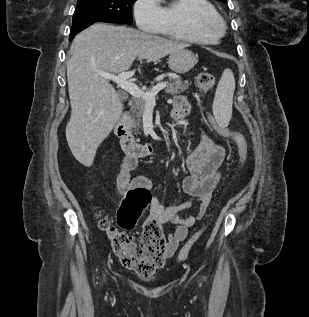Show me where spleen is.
<instances>
[{"label": "spleen", "mask_w": 309, "mask_h": 317, "mask_svg": "<svg viewBox=\"0 0 309 317\" xmlns=\"http://www.w3.org/2000/svg\"><path fill=\"white\" fill-rule=\"evenodd\" d=\"M234 91V74L227 68L222 73L213 102L214 117L222 127H226L231 119Z\"/></svg>", "instance_id": "obj_1"}]
</instances>
